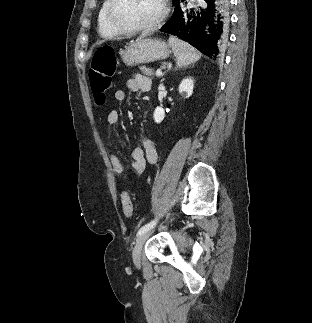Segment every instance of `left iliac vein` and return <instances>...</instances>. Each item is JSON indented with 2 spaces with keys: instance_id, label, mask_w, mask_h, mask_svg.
I'll return each mask as SVG.
<instances>
[{
  "instance_id": "1",
  "label": "left iliac vein",
  "mask_w": 312,
  "mask_h": 323,
  "mask_svg": "<svg viewBox=\"0 0 312 323\" xmlns=\"http://www.w3.org/2000/svg\"><path fill=\"white\" fill-rule=\"evenodd\" d=\"M149 234L150 233L148 231L140 234L133 249V253H132L133 262L136 264L138 268L140 267L142 248L144 246L146 239L149 237Z\"/></svg>"
}]
</instances>
